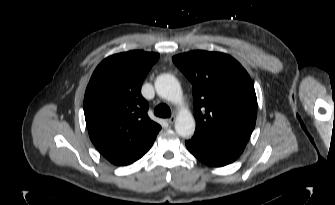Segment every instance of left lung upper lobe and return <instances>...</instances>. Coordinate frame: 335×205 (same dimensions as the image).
Instances as JSON below:
<instances>
[{"instance_id":"obj_1","label":"left lung upper lobe","mask_w":335,"mask_h":205,"mask_svg":"<svg viewBox=\"0 0 335 205\" xmlns=\"http://www.w3.org/2000/svg\"><path fill=\"white\" fill-rule=\"evenodd\" d=\"M192 83L194 135L244 148L255 127L257 98L246 70L231 56L192 51L172 58Z\"/></svg>"}]
</instances>
